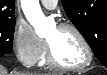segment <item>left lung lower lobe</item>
Instances as JSON below:
<instances>
[{
	"instance_id": "obj_1",
	"label": "left lung lower lobe",
	"mask_w": 107,
	"mask_h": 75,
	"mask_svg": "<svg viewBox=\"0 0 107 75\" xmlns=\"http://www.w3.org/2000/svg\"><path fill=\"white\" fill-rule=\"evenodd\" d=\"M105 55H107V52L100 48L98 51H97V54H96V57L98 58V60L104 65V64H107L105 62Z\"/></svg>"
}]
</instances>
